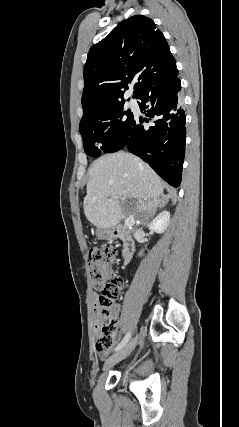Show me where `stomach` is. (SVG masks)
<instances>
[{"label": "stomach", "mask_w": 239, "mask_h": 427, "mask_svg": "<svg viewBox=\"0 0 239 427\" xmlns=\"http://www.w3.org/2000/svg\"><path fill=\"white\" fill-rule=\"evenodd\" d=\"M96 236L101 240L111 239L113 237V230L98 228L96 230Z\"/></svg>", "instance_id": "1"}]
</instances>
